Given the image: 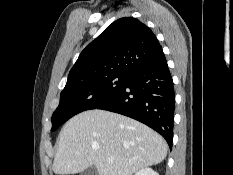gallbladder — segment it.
Segmentation results:
<instances>
[{
    "label": "gallbladder",
    "mask_w": 233,
    "mask_h": 175,
    "mask_svg": "<svg viewBox=\"0 0 233 175\" xmlns=\"http://www.w3.org/2000/svg\"><path fill=\"white\" fill-rule=\"evenodd\" d=\"M80 175H98V170L94 165H92L89 168L82 171Z\"/></svg>",
    "instance_id": "bac80fb5"
}]
</instances>
